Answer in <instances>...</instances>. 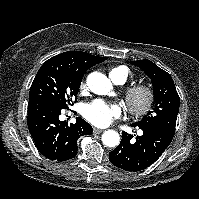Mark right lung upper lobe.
I'll return each instance as SVG.
<instances>
[{"instance_id":"obj_1","label":"right lung upper lobe","mask_w":199,"mask_h":199,"mask_svg":"<svg viewBox=\"0 0 199 199\" xmlns=\"http://www.w3.org/2000/svg\"><path fill=\"white\" fill-rule=\"evenodd\" d=\"M106 59L105 57H97L86 52L68 51L50 58L45 63L83 76L91 66L103 62Z\"/></svg>"}]
</instances>
